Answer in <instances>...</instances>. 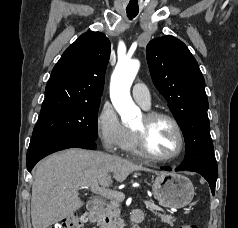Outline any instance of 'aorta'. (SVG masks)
<instances>
[{
  "instance_id": "obj_1",
  "label": "aorta",
  "mask_w": 238,
  "mask_h": 228,
  "mask_svg": "<svg viewBox=\"0 0 238 228\" xmlns=\"http://www.w3.org/2000/svg\"><path fill=\"white\" fill-rule=\"evenodd\" d=\"M139 67L140 63L138 60H120L111 77V101L124 124L130 123L140 114L139 108L134 104L130 95V88Z\"/></svg>"
}]
</instances>
